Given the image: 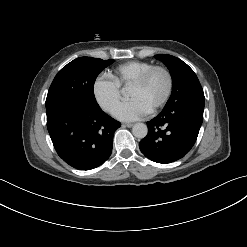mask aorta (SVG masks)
I'll return each mask as SVG.
<instances>
[{
    "label": "aorta",
    "instance_id": "aorta-1",
    "mask_svg": "<svg viewBox=\"0 0 247 247\" xmlns=\"http://www.w3.org/2000/svg\"><path fill=\"white\" fill-rule=\"evenodd\" d=\"M148 128L144 123H136L132 127V133L135 137L142 139L146 137Z\"/></svg>",
    "mask_w": 247,
    "mask_h": 247
}]
</instances>
